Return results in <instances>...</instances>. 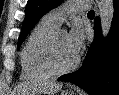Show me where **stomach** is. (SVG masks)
Segmentation results:
<instances>
[{
    "label": "stomach",
    "mask_w": 119,
    "mask_h": 95,
    "mask_svg": "<svg viewBox=\"0 0 119 95\" xmlns=\"http://www.w3.org/2000/svg\"><path fill=\"white\" fill-rule=\"evenodd\" d=\"M61 95H77V94L72 90H65L61 93Z\"/></svg>",
    "instance_id": "0dacf381"
}]
</instances>
